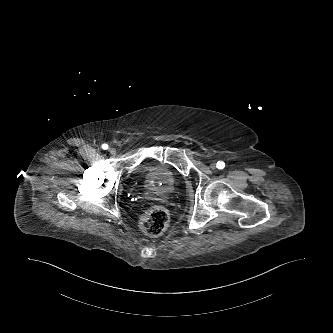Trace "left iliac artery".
Here are the masks:
<instances>
[{
  "label": "left iliac artery",
  "instance_id": "left-iliac-artery-1",
  "mask_svg": "<svg viewBox=\"0 0 333 333\" xmlns=\"http://www.w3.org/2000/svg\"><path fill=\"white\" fill-rule=\"evenodd\" d=\"M225 167V163L223 161H218L217 162V168L218 169H223Z\"/></svg>",
  "mask_w": 333,
  "mask_h": 333
}]
</instances>
